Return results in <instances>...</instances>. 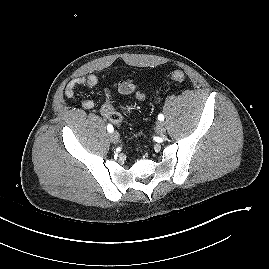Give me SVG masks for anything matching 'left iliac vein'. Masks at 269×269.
Instances as JSON below:
<instances>
[{
  "mask_svg": "<svg viewBox=\"0 0 269 269\" xmlns=\"http://www.w3.org/2000/svg\"><path fill=\"white\" fill-rule=\"evenodd\" d=\"M156 132L158 135L163 136L166 132V125L164 122H158L156 125Z\"/></svg>",
  "mask_w": 269,
  "mask_h": 269,
  "instance_id": "obj_1",
  "label": "left iliac vein"
}]
</instances>
